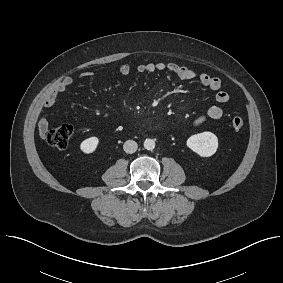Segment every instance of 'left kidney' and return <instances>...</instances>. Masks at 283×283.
Masks as SVG:
<instances>
[{
  "instance_id": "5707ae66",
  "label": "left kidney",
  "mask_w": 283,
  "mask_h": 283,
  "mask_svg": "<svg viewBox=\"0 0 283 283\" xmlns=\"http://www.w3.org/2000/svg\"><path fill=\"white\" fill-rule=\"evenodd\" d=\"M187 146L201 157H210L216 153L218 138L212 132H202L190 136L186 142Z\"/></svg>"
}]
</instances>
